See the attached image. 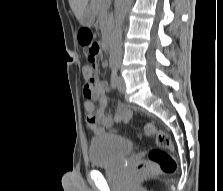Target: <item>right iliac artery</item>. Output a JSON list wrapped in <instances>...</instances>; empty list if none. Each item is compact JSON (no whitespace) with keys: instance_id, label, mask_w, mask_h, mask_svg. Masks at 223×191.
<instances>
[{"instance_id":"obj_1","label":"right iliac artery","mask_w":223,"mask_h":191,"mask_svg":"<svg viewBox=\"0 0 223 191\" xmlns=\"http://www.w3.org/2000/svg\"><path fill=\"white\" fill-rule=\"evenodd\" d=\"M111 86L112 88L117 87V74H116V68L112 69V76H111Z\"/></svg>"}]
</instances>
